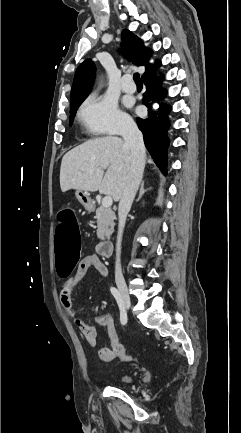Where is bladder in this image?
<instances>
[{"instance_id": "31cf9c89", "label": "bladder", "mask_w": 241, "mask_h": 433, "mask_svg": "<svg viewBox=\"0 0 241 433\" xmlns=\"http://www.w3.org/2000/svg\"><path fill=\"white\" fill-rule=\"evenodd\" d=\"M118 380L122 384H130L133 381V377L129 374H123L118 377Z\"/></svg>"}]
</instances>
